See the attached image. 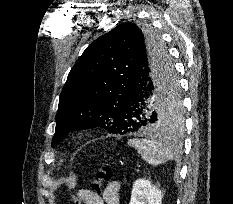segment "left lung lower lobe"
<instances>
[{
  "mask_svg": "<svg viewBox=\"0 0 233 204\" xmlns=\"http://www.w3.org/2000/svg\"><path fill=\"white\" fill-rule=\"evenodd\" d=\"M173 82L178 85L175 70L169 73L163 53L139 52L116 117L123 134L161 130L156 106Z\"/></svg>",
  "mask_w": 233,
  "mask_h": 204,
  "instance_id": "obj_1",
  "label": "left lung lower lobe"
}]
</instances>
